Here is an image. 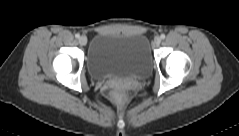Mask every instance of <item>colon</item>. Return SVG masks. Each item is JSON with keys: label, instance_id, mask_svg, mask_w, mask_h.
<instances>
[{"label": "colon", "instance_id": "1", "mask_svg": "<svg viewBox=\"0 0 239 136\" xmlns=\"http://www.w3.org/2000/svg\"><path fill=\"white\" fill-rule=\"evenodd\" d=\"M128 91V86L123 83H117L112 87V95L116 100H122L125 98Z\"/></svg>", "mask_w": 239, "mask_h": 136}]
</instances>
